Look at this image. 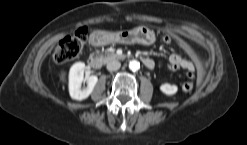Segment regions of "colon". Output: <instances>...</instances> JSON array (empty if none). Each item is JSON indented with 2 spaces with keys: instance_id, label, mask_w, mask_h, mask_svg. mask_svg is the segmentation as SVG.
Segmentation results:
<instances>
[{
  "instance_id": "obj_1",
  "label": "colon",
  "mask_w": 247,
  "mask_h": 145,
  "mask_svg": "<svg viewBox=\"0 0 247 145\" xmlns=\"http://www.w3.org/2000/svg\"><path fill=\"white\" fill-rule=\"evenodd\" d=\"M87 38V29L82 28L77 30L75 33L64 37L57 45L53 59L57 64H63L70 60L75 59L81 52L85 40ZM163 41L165 43H170L172 41V36L170 34H165L163 36ZM194 88V83L192 80H187L183 83L182 89L185 92H190Z\"/></svg>"
}]
</instances>
